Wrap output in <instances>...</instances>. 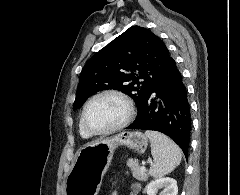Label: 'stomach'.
Wrapping results in <instances>:
<instances>
[{
	"label": "stomach",
	"instance_id": "0dacf381",
	"mask_svg": "<svg viewBox=\"0 0 240 195\" xmlns=\"http://www.w3.org/2000/svg\"><path fill=\"white\" fill-rule=\"evenodd\" d=\"M118 145H126L129 149L144 153L148 139L142 131H122L111 137H99L85 143L78 149L66 177L67 195H98Z\"/></svg>",
	"mask_w": 240,
	"mask_h": 195
}]
</instances>
